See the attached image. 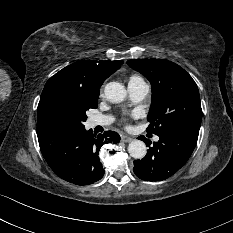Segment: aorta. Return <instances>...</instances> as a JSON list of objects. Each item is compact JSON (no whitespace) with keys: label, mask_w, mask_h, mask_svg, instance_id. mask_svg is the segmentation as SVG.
<instances>
[{"label":"aorta","mask_w":233,"mask_h":233,"mask_svg":"<svg viewBox=\"0 0 233 233\" xmlns=\"http://www.w3.org/2000/svg\"><path fill=\"white\" fill-rule=\"evenodd\" d=\"M106 98L112 103L123 101L127 95L125 87L118 82H109L104 89ZM128 152L134 159H142L147 153V147L141 140H133L128 146Z\"/></svg>","instance_id":"obj_1"}]
</instances>
